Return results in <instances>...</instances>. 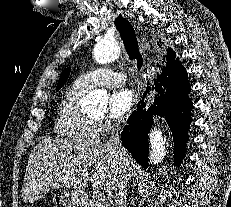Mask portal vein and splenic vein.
Here are the masks:
<instances>
[{
	"instance_id": "1",
	"label": "portal vein and splenic vein",
	"mask_w": 231,
	"mask_h": 207,
	"mask_svg": "<svg viewBox=\"0 0 231 207\" xmlns=\"http://www.w3.org/2000/svg\"><path fill=\"white\" fill-rule=\"evenodd\" d=\"M95 198L100 202L105 201L104 193L99 192V191L95 192Z\"/></svg>"
}]
</instances>
